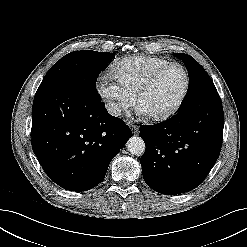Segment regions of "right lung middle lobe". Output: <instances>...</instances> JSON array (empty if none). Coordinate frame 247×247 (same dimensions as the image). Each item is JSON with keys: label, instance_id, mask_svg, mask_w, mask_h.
I'll return each instance as SVG.
<instances>
[{"label": "right lung middle lobe", "instance_id": "obj_1", "mask_svg": "<svg viewBox=\"0 0 247 247\" xmlns=\"http://www.w3.org/2000/svg\"><path fill=\"white\" fill-rule=\"evenodd\" d=\"M113 57L112 53L92 50L73 51L50 68L42 83L61 77H77L95 83L100 71Z\"/></svg>", "mask_w": 247, "mask_h": 247}]
</instances>
